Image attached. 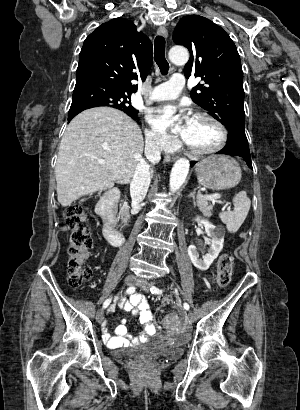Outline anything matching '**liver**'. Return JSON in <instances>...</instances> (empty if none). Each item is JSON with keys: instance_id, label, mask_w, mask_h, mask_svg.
<instances>
[{"instance_id": "liver-1", "label": "liver", "mask_w": 300, "mask_h": 410, "mask_svg": "<svg viewBox=\"0 0 300 410\" xmlns=\"http://www.w3.org/2000/svg\"><path fill=\"white\" fill-rule=\"evenodd\" d=\"M142 132L117 109L96 107L69 123L59 146L55 167L57 199L67 207L82 196L132 181L143 160ZM103 159L105 164H99Z\"/></svg>"}]
</instances>
